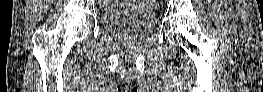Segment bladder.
<instances>
[{"mask_svg": "<svg viewBox=\"0 0 263 92\" xmlns=\"http://www.w3.org/2000/svg\"><path fill=\"white\" fill-rule=\"evenodd\" d=\"M103 26L113 36L127 41H138L148 35L155 27L153 11L145 8H114L103 12Z\"/></svg>", "mask_w": 263, "mask_h": 92, "instance_id": "31cf9c89", "label": "bladder"}]
</instances>
